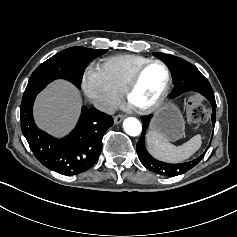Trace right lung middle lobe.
Wrapping results in <instances>:
<instances>
[{
	"label": "right lung middle lobe",
	"mask_w": 237,
	"mask_h": 237,
	"mask_svg": "<svg viewBox=\"0 0 237 237\" xmlns=\"http://www.w3.org/2000/svg\"><path fill=\"white\" fill-rule=\"evenodd\" d=\"M106 51V49L71 47L57 53L32 73L22 99L36 96L48 83L60 78L74 83L79 88L89 62Z\"/></svg>",
	"instance_id": "obj_1"
}]
</instances>
